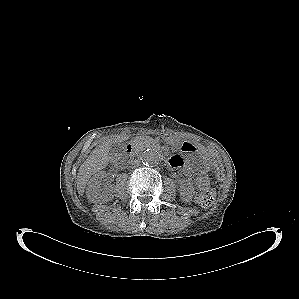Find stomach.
<instances>
[{"instance_id":"0dacf381","label":"stomach","mask_w":299,"mask_h":299,"mask_svg":"<svg viewBox=\"0 0 299 299\" xmlns=\"http://www.w3.org/2000/svg\"><path fill=\"white\" fill-rule=\"evenodd\" d=\"M168 143L176 145V142L172 139H168ZM179 148L185 151V155L188 158L189 164L196 171H203L208 166V154L201 147L194 145L190 142L184 141L179 144Z\"/></svg>"}]
</instances>
